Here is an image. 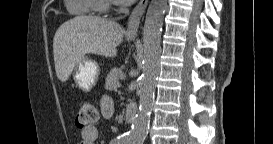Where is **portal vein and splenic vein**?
<instances>
[{"mask_svg":"<svg viewBox=\"0 0 273 144\" xmlns=\"http://www.w3.org/2000/svg\"><path fill=\"white\" fill-rule=\"evenodd\" d=\"M120 78H121V79H124V78H125V74H124V73H121Z\"/></svg>","mask_w":273,"mask_h":144,"instance_id":"1","label":"portal vein and splenic vein"}]
</instances>
